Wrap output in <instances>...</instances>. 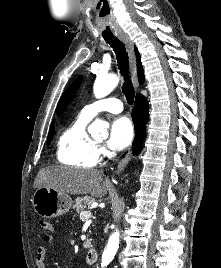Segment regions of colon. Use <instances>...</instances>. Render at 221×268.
Wrapping results in <instances>:
<instances>
[{
  "label": "colon",
  "instance_id": "obj_1",
  "mask_svg": "<svg viewBox=\"0 0 221 268\" xmlns=\"http://www.w3.org/2000/svg\"><path fill=\"white\" fill-rule=\"evenodd\" d=\"M40 226L46 232H50L52 230V228H53V225L47 220H41L40 221Z\"/></svg>",
  "mask_w": 221,
  "mask_h": 268
}]
</instances>
